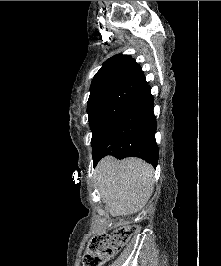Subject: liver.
<instances>
[{
  "label": "liver",
  "instance_id": "1",
  "mask_svg": "<svg viewBox=\"0 0 221 266\" xmlns=\"http://www.w3.org/2000/svg\"><path fill=\"white\" fill-rule=\"evenodd\" d=\"M154 169L139 158L122 161L103 158L94 172L95 184L106 209L113 217L137 213L154 190Z\"/></svg>",
  "mask_w": 221,
  "mask_h": 266
}]
</instances>
